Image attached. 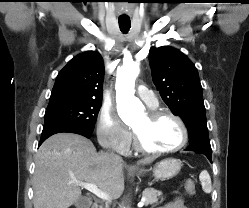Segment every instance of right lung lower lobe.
<instances>
[{
  "label": "right lung lower lobe",
  "instance_id": "obj_1",
  "mask_svg": "<svg viewBox=\"0 0 249 208\" xmlns=\"http://www.w3.org/2000/svg\"><path fill=\"white\" fill-rule=\"evenodd\" d=\"M60 132H69V133H76V134H80L83 135L87 138H89L91 136L90 133L85 132L83 130L77 129V128H73V127H69V126H63V125H57V124H48V125H44L43 126V131H42V135H41V139L39 142V146L51 135L56 134V133H60Z\"/></svg>",
  "mask_w": 249,
  "mask_h": 208
}]
</instances>
